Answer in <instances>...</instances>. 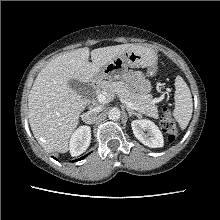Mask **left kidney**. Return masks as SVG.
Segmentation results:
<instances>
[{"instance_id":"1","label":"left kidney","mask_w":220,"mask_h":220,"mask_svg":"<svg viewBox=\"0 0 220 220\" xmlns=\"http://www.w3.org/2000/svg\"><path fill=\"white\" fill-rule=\"evenodd\" d=\"M131 126L135 137L145 146L151 148L163 147L162 133L152 121L146 119L134 120Z\"/></svg>"}]
</instances>
